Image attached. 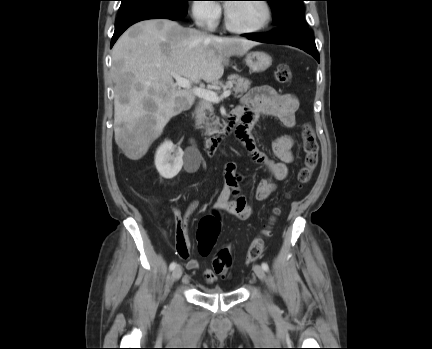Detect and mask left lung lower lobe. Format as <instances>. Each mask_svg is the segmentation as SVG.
Segmentation results:
<instances>
[{"instance_id":"0a47b994","label":"left lung lower lobe","mask_w":432,"mask_h":349,"mask_svg":"<svg viewBox=\"0 0 432 349\" xmlns=\"http://www.w3.org/2000/svg\"><path fill=\"white\" fill-rule=\"evenodd\" d=\"M243 36L258 42L290 45L300 48L320 62L315 40L310 30L278 28L271 33L244 34Z\"/></svg>"}]
</instances>
